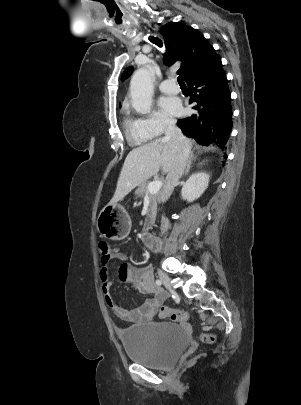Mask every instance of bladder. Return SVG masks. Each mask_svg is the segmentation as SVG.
<instances>
[{
	"mask_svg": "<svg viewBox=\"0 0 301 405\" xmlns=\"http://www.w3.org/2000/svg\"><path fill=\"white\" fill-rule=\"evenodd\" d=\"M119 336L127 357L152 369L172 367L189 344L185 327L171 322L127 327Z\"/></svg>",
	"mask_w": 301,
	"mask_h": 405,
	"instance_id": "obj_1",
	"label": "bladder"
}]
</instances>
